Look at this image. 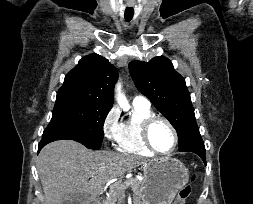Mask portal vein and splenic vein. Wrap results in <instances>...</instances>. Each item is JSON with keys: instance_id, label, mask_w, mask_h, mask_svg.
Wrapping results in <instances>:
<instances>
[{"instance_id": "portal-vein-and-splenic-vein-1", "label": "portal vein and splenic vein", "mask_w": 253, "mask_h": 204, "mask_svg": "<svg viewBox=\"0 0 253 204\" xmlns=\"http://www.w3.org/2000/svg\"><path fill=\"white\" fill-rule=\"evenodd\" d=\"M131 182H132V179L130 178V179L126 180L123 184H121V186L123 188H126L131 184Z\"/></svg>"}]
</instances>
